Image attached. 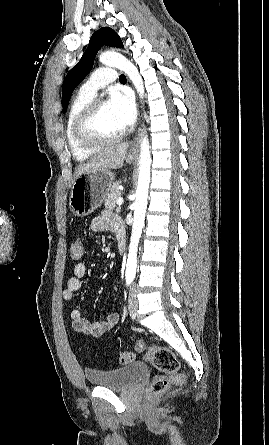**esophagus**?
I'll use <instances>...</instances> for the list:
<instances>
[{"mask_svg":"<svg viewBox=\"0 0 269 445\" xmlns=\"http://www.w3.org/2000/svg\"><path fill=\"white\" fill-rule=\"evenodd\" d=\"M140 136H141V131L139 129L137 134H136V136H135V138H134V141L132 143V147H131L132 150H135V149L138 148L139 143H140Z\"/></svg>","mask_w":269,"mask_h":445,"instance_id":"obj_1","label":"esophagus"}]
</instances>
